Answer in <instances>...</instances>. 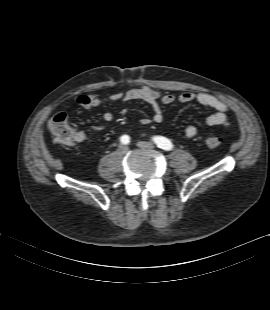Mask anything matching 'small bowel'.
<instances>
[{"instance_id": "small-bowel-1", "label": "small bowel", "mask_w": 270, "mask_h": 310, "mask_svg": "<svg viewBox=\"0 0 270 310\" xmlns=\"http://www.w3.org/2000/svg\"><path fill=\"white\" fill-rule=\"evenodd\" d=\"M143 101L149 104L153 114L151 118H142L143 125L151 123L160 124L163 122L162 106H169L174 103H189L196 101L199 104L216 110L215 113L208 115L204 119V123L209 126H222L228 128L230 125L228 119L229 105L218 97L204 92H185L178 96L174 94H162L150 87L143 86L140 88L130 89L126 92H117L109 97H99L96 95L81 93L76 96V103L86 110H91L98 107L107 106L119 101ZM113 120V114L110 111H104L101 115V122L90 127L92 132H100L104 130L106 125ZM197 128L193 125H188L184 128V135L188 139H192L197 135ZM78 142L86 139V134L83 131H78Z\"/></svg>"}]
</instances>
